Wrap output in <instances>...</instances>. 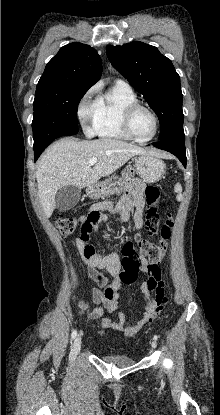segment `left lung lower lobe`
<instances>
[{"label":"left lung lower lobe","mask_w":220,"mask_h":415,"mask_svg":"<svg viewBox=\"0 0 220 415\" xmlns=\"http://www.w3.org/2000/svg\"><path fill=\"white\" fill-rule=\"evenodd\" d=\"M156 148L168 151L174 154L186 167V149H185V135L184 132L152 143Z\"/></svg>","instance_id":"0a47b994"}]
</instances>
